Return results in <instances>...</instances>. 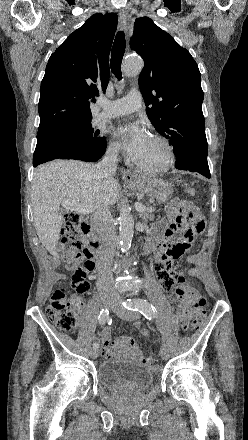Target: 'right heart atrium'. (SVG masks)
Returning <instances> with one entry per match:
<instances>
[{
  "mask_svg": "<svg viewBox=\"0 0 248 440\" xmlns=\"http://www.w3.org/2000/svg\"><path fill=\"white\" fill-rule=\"evenodd\" d=\"M107 156L112 160H117L120 157V148L115 142H110L106 149Z\"/></svg>",
  "mask_w": 248,
  "mask_h": 440,
  "instance_id": "obj_1",
  "label": "right heart atrium"
}]
</instances>
